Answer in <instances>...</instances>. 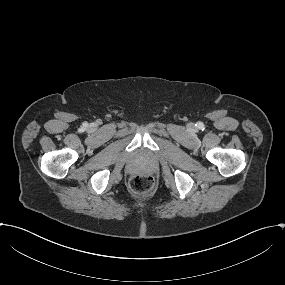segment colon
Masks as SVG:
<instances>
[{
  "label": "colon",
  "instance_id": "colon-1",
  "mask_svg": "<svg viewBox=\"0 0 285 285\" xmlns=\"http://www.w3.org/2000/svg\"><path fill=\"white\" fill-rule=\"evenodd\" d=\"M131 190L138 194L150 193L155 186L154 178L148 174H136L129 180Z\"/></svg>",
  "mask_w": 285,
  "mask_h": 285
}]
</instances>
